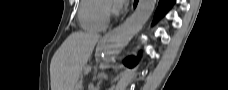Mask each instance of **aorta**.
I'll return each mask as SVG.
<instances>
[{"mask_svg":"<svg viewBox=\"0 0 228 90\" xmlns=\"http://www.w3.org/2000/svg\"><path fill=\"white\" fill-rule=\"evenodd\" d=\"M155 2L156 0H139L135 12L108 37L102 53L105 63L115 60L122 48L141 30L152 14Z\"/></svg>","mask_w":228,"mask_h":90,"instance_id":"obj_1","label":"aorta"}]
</instances>
